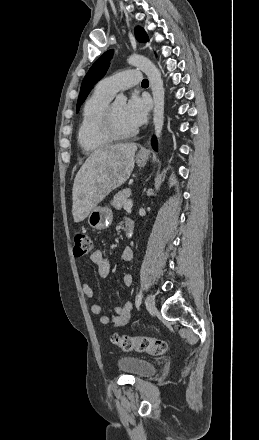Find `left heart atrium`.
Here are the masks:
<instances>
[{"label": "left heart atrium", "mask_w": 259, "mask_h": 440, "mask_svg": "<svg viewBox=\"0 0 259 440\" xmlns=\"http://www.w3.org/2000/svg\"><path fill=\"white\" fill-rule=\"evenodd\" d=\"M149 109V101L144 97L134 94L126 103L125 114L128 121L137 128L147 121Z\"/></svg>", "instance_id": "39dd6f15"}]
</instances>
